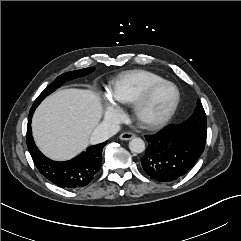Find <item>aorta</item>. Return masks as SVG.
<instances>
[{
	"label": "aorta",
	"instance_id": "762f6f07",
	"mask_svg": "<svg viewBox=\"0 0 241 241\" xmlns=\"http://www.w3.org/2000/svg\"><path fill=\"white\" fill-rule=\"evenodd\" d=\"M129 149L134 153H142L145 150V143L141 138H132L129 142Z\"/></svg>",
	"mask_w": 241,
	"mask_h": 241
}]
</instances>
